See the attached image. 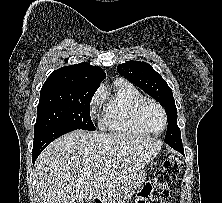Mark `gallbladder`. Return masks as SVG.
<instances>
[{"mask_svg":"<svg viewBox=\"0 0 222 203\" xmlns=\"http://www.w3.org/2000/svg\"><path fill=\"white\" fill-rule=\"evenodd\" d=\"M80 203H91V200L89 198H85Z\"/></svg>","mask_w":222,"mask_h":203,"instance_id":"bac80fb5","label":"gallbladder"}]
</instances>
